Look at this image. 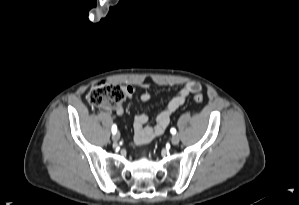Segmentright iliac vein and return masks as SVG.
<instances>
[{"mask_svg":"<svg viewBox=\"0 0 299 205\" xmlns=\"http://www.w3.org/2000/svg\"><path fill=\"white\" fill-rule=\"evenodd\" d=\"M119 138H120V134H119V133H115V134H113V136H112V139H113V141H115V142H117V141L119 140Z\"/></svg>","mask_w":299,"mask_h":205,"instance_id":"63e3f726","label":"right iliac vein"}]
</instances>
